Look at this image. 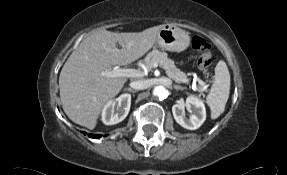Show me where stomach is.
Returning a JSON list of instances; mask_svg holds the SVG:
<instances>
[{
	"instance_id": "stomach-1",
	"label": "stomach",
	"mask_w": 287,
	"mask_h": 175,
	"mask_svg": "<svg viewBox=\"0 0 287 175\" xmlns=\"http://www.w3.org/2000/svg\"><path fill=\"white\" fill-rule=\"evenodd\" d=\"M156 46L171 52H182L188 48L190 37L188 33L172 24H165L156 37Z\"/></svg>"
}]
</instances>
